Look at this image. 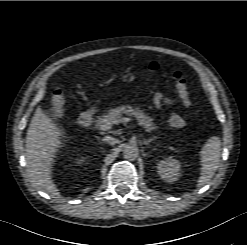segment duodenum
Returning a JSON list of instances; mask_svg holds the SVG:
<instances>
[{"label": "duodenum", "instance_id": "obj_1", "mask_svg": "<svg viewBox=\"0 0 247 245\" xmlns=\"http://www.w3.org/2000/svg\"><path fill=\"white\" fill-rule=\"evenodd\" d=\"M95 110L87 109L80 113L77 119V123L80 127H88L91 125Z\"/></svg>", "mask_w": 247, "mask_h": 245}]
</instances>
